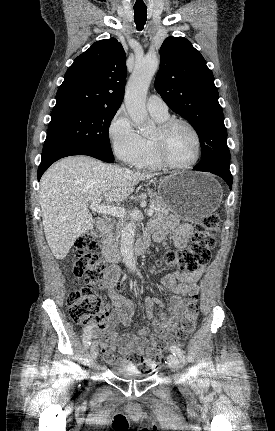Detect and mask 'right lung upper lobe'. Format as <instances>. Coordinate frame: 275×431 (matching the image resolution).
<instances>
[{
  "instance_id": "1",
  "label": "right lung upper lobe",
  "mask_w": 275,
  "mask_h": 431,
  "mask_svg": "<svg viewBox=\"0 0 275 431\" xmlns=\"http://www.w3.org/2000/svg\"><path fill=\"white\" fill-rule=\"evenodd\" d=\"M126 75L122 45L114 38L95 42L68 68L52 113L73 109H119Z\"/></svg>"
}]
</instances>
